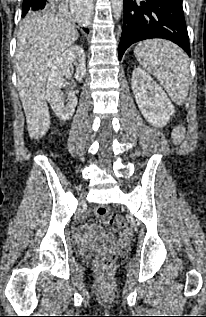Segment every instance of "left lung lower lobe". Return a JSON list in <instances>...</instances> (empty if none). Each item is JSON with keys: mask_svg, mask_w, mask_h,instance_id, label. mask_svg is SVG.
<instances>
[{"mask_svg": "<svg viewBox=\"0 0 206 317\" xmlns=\"http://www.w3.org/2000/svg\"><path fill=\"white\" fill-rule=\"evenodd\" d=\"M149 38L171 40L190 56L182 0H124L119 59L131 44Z\"/></svg>", "mask_w": 206, "mask_h": 317, "instance_id": "obj_1", "label": "left lung lower lobe"}]
</instances>
